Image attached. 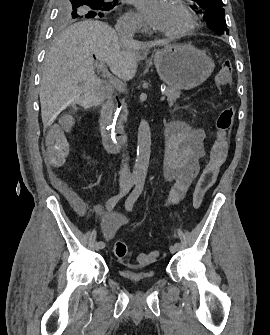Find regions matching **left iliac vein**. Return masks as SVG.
Instances as JSON below:
<instances>
[{
    "mask_svg": "<svg viewBox=\"0 0 270 335\" xmlns=\"http://www.w3.org/2000/svg\"><path fill=\"white\" fill-rule=\"evenodd\" d=\"M169 250H170L171 253H176L178 251V249L174 245H171L169 247Z\"/></svg>",
    "mask_w": 270,
    "mask_h": 335,
    "instance_id": "4c4485c4",
    "label": "left iliac vein"
}]
</instances>
